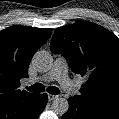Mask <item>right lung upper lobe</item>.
<instances>
[{
  "label": "right lung upper lobe",
  "instance_id": "right-lung-upper-lobe-1",
  "mask_svg": "<svg viewBox=\"0 0 119 119\" xmlns=\"http://www.w3.org/2000/svg\"><path fill=\"white\" fill-rule=\"evenodd\" d=\"M52 29L14 25L0 31V119H28L40 94L19 89L34 53Z\"/></svg>",
  "mask_w": 119,
  "mask_h": 119
}]
</instances>
